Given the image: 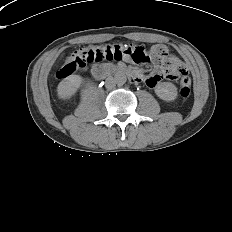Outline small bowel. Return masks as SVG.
<instances>
[{
	"instance_id": "c3829d8e",
	"label": "small bowel",
	"mask_w": 232,
	"mask_h": 232,
	"mask_svg": "<svg viewBox=\"0 0 232 232\" xmlns=\"http://www.w3.org/2000/svg\"><path fill=\"white\" fill-rule=\"evenodd\" d=\"M155 47V46H154ZM154 47L152 48V50L154 49ZM142 48V47H140ZM144 49V48H142ZM177 65V67L179 68H183V63L181 62V60H179L178 58L172 57ZM163 69L161 66H157L156 70L154 71L153 74H151L149 77L144 78V82L147 85H151L154 86L156 85L158 82L161 81V79H163Z\"/></svg>"
}]
</instances>
